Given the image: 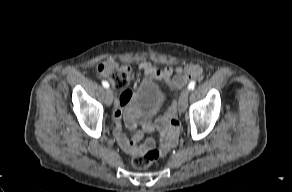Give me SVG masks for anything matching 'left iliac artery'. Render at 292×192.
<instances>
[{
    "label": "left iliac artery",
    "instance_id": "obj_1",
    "mask_svg": "<svg viewBox=\"0 0 292 192\" xmlns=\"http://www.w3.org/2000/svg\"><path fill=\"white\" fill-rule=\"evenodd\" d=\"M195 83H196L195 81H191V82L188 84V87H187L188 91L194 89V87H195Z\"/></svg>",
    "mask_w": 292,
    "mask_h": 192
}]
</instances>
